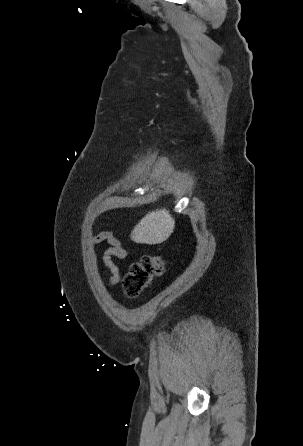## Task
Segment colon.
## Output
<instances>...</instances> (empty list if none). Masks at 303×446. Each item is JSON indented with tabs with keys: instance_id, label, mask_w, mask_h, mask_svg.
Segmentation results:
<instances>
[{
	"instance_id": "obj_1",
	"label": "colon",
	"mask_w": 303,
	"mask_h": 446,
	"mask_svg": "<svg viewBox=\"0 0 303 446\" xmlns=\"http://www.w3.org/2000/svg\"><path fill=\"white\" fill-rule=\"evenodd\" d=\"M164 260L158 256H143L129 266L124 277V289L126 294L137 297L149 282L163 273Z\"/></svg>"
}]
</instances>
